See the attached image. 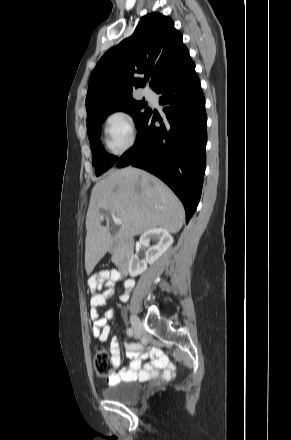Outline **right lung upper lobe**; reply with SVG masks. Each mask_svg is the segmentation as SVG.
Returning a JSON list of instances; mask_svg holds the SVG:
<instances>
[{"mask_svg": "<svg viewBox=\"0 0 291 440\" xmlns=\"http://www.w3.org/2000/svg\"><path fill=\"white\" fill-rule=\"evenodd\" d=\"M182 38L170 17L160 13L142 17L133 35L108 50L98 61L89 80L87 112L100 105L132 98L136 89L146 85L148 77L155 91L169 79L192 68L195 64Z\"/></svg>", "mask_w": 291, "mask_h": 440, "instance_id": "right-lung-upper-lobe-1", "label": "right lung upper lobe"}]
</instances>
